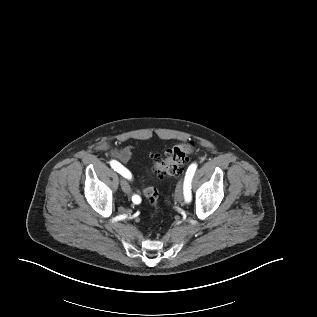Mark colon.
<instances>
[{
	"label": "colon",
	"mask_w": 317,
	"mask_h": 317,
	"mask_svg": "<svg viewBox=\"0 0 317 317\" xmlns=\"http://www.w3.org/2000/svg\"><path fill=\"white\" fill-rule=\"evenodd\" d=\"M193 150L190 143H180L165 151L164 155L156 154L153 157V166L157 174L174 176L187 161V156ZM143 194L156 211L158 205V191L154 187L146 186Z\"/></svg>",
	"instance_id": "1"
}]
</instances>
